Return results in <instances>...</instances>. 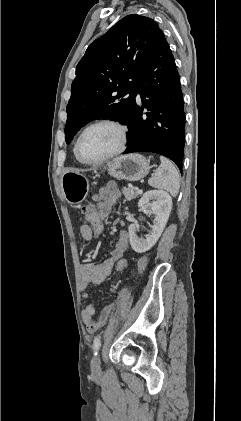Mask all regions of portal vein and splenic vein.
<instances>
[{"label":"portal vein and splenic vein","mask_w":241,"mask_h":421,"mask_svg":"<svg viewBox=\"0 0 241 421\" xmlns=\"http://www.w3.org/2000/svg\"><path fill=\"white\" fill-rule=\"evenodd\" d=\"M137 192H138L139 194H141L143 191H142L141 189H138V190H137Z\"/></svg>","instance_id":"1"}]
</instances>
